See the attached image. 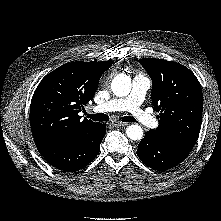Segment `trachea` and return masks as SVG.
<instances>
[{"label": "trachea", "mask_w": 221, "mask_h": 221, "mask_svg": "<svg viewBox=\"0 0 221 221\" xmlns=\"http://www.w3.org/2000/svg\"><path fill=\"white\" fill-rule=\"evenodd\" d=\"M88 118L94 120V121H108L109 120V116L103 113H98V114H86ZM123 122H136V120L131 117V116H124L122 118Z\"/></svg>", "instance_id": "obj_1"}]
</instances>
